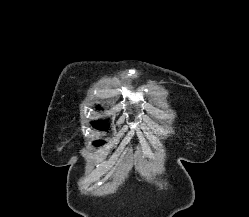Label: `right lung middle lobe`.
<instances>
[{
  "instance_id": "obj_1",
  "label": "right lung middle lobe",
  "mask_w": 249,
  "mask_h": 217,
  "mask_svg": "<svg viewBox=\"0 0 249 217\" xmlns=\"http://www.w3.org/2000/svg\"><path fill=\"white\" fill-rule=\"evenodd\" d=\"M92 125H93V127L98 128V129H102V130L107 129V126H108L107 123H105V122H92ZM103 143H104V141H97V142H95V145L100 146Z\"/></svg>"
}]
</instances>
